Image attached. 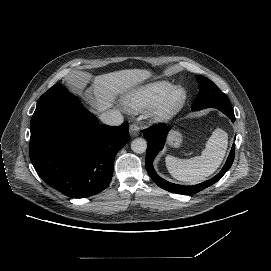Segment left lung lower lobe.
I'll return each instance as SVG.
<instances>
[{
	"mask_svg": "<svg viewBox=\"0 0 271 271\" xmlns=\"http://www.w3.org/2000/svg\"><path fill=\"white\" fill-rule=\"evenodd\" d=\"M192 110H200V109H192ZM220 111L223 112L225 115H227L231 119L232 122L235 121L233 110L232 111L220 110ZM169 129H170L169 126L159 125V126H153L144 130V136L148 141L146 159H145L146 170L149 176L151 177V179L162 189L167 190L172 193H177V194L193 195L216 183L231 167L234 161V156H235L234 144L232 145L230 154L222 170L216 176H214L213 178L205 182H202L200 184L193 185V186H183V185L173 184L162 179L156 174L153 168L152 162L155 156L157 155L158 151H160L163 148Z\"/></svg>",
	"mask_w": 271,
	"mask_h": 271,
	"instance_id": "left-lung-lower-lobe-1",
	"label": "left lung lower lobe"
}]
</instances>
